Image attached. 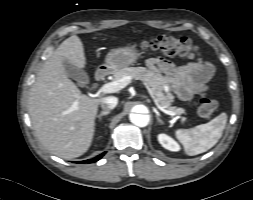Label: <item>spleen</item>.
I'll list each match as a JSON object with an SVG mask.
<instances>
[{
    "label": "spleen",
    "instance_id": "1",
    "mask_svg": "<svg viewBox=\"0 0 253 200\" xmlns=\"http://www.w3.org/2000/svg\"><path fill=\"white\" fill-rule=\"evenodd\" d=\"M227 122V114L221 113L210 122L190 129L175 131L177 139L190 156L206 152L217 144Z\"/></svg>",
    "mask_w": 253,
    "mask_h": 200
}]
</instances>
